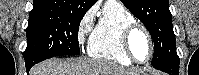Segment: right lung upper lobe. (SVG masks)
Masks as SVG:
<instances>
[{"mask_svg": "<svg viewBox=\"0 0 199 75\" xmlns=\"http://www.w3.org/2000/svg\"><path fill=\"white\" fill-rule=\"evenodd\" d=\"M97 0H34L33 8L58 7L86 13Z\"/></svg>", "mask_w": 199, "mask_h": 75, "instance_id": "obj_1", "label": "right lung upper lobe"}]
</instances>
